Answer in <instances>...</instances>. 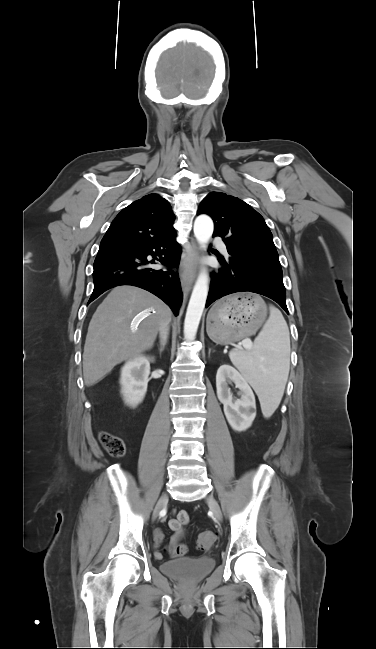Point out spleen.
Listing matches in <instances>:
<instances>
[{
  "mask_svg": "<svg viewBox=\"0 0 376 649\" xmlns=\"http://www.w3.org/2000/svg\"><path fill=\"white\" fill-rule=\"evenodd\" d=\"M229 357L259 396L263 415L270 417L280 404L290 369L289 329L281 311L271 305L252 351L232 350Z\"/></svg>",
  "mask_w": 376,
  "mask_h": 649,
  "instance_id": "1",
  "label": "spleen"
}]
</instances>
